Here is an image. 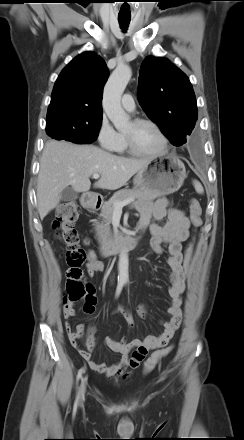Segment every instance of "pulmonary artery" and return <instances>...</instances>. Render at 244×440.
Here are the masks:
<instances>
[{"label":"pulmonary artery","mask_w":244,"mask_h":440,"mask_svg":"<svg viewBox=\"0 0 244 440\" xmlns=\"http://www.w3.org/2000/svg\"><path fill=\"white\" fill-rule=\"evenodd\" d=\"M121 104L122 107L128 112H133L135 110L134 98L129 93L123 95Z\"/></svg>","instance_id":"1"}]
</instances>
